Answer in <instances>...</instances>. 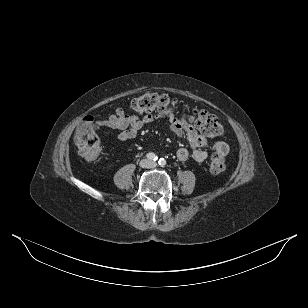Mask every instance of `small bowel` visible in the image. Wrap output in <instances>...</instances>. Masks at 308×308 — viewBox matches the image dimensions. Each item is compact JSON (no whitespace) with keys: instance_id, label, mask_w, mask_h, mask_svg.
I'll return each instance as SVG.
<instances>
[{"instance_id":"1","label":"small bowel","mask_w":308,"mask_h":308,"mask_svg":"<svg viewBox=\"0 0 308 308\" xmlns=\"http://www.w3.org/2000/svg\"><path fill=\"white\" fill-rule=\"evenodd\" d=\"M165 120L169 123L171 131L178 137L185 135L192 147V151L187 148H179L176 156L180 161H187L189 158L196 162H204L208 153L204 148L208 145V139L205 135L199 133L197 129L190 124L185 118L177 117L170 113H146L142 116L139 114H126L120 107L116 108L115 113L107 119L100 121V124L109 130L119 131L117 136L120 141L134 139L139 131L146 125L156 121ZM213 148L216 153L226 156L229 146L223 141H215Z\"/></svg>"}]
</instances>
